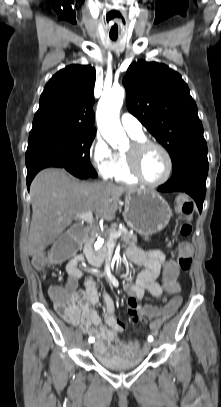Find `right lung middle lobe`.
Masks as SVG:
<instances>
[{
  "label": "right lung middle lobe",
  "mask_w": 221,
  "mask_h": 407,
  "mask_svg": "<svg viewBox=\"0 0 221 407\" xmlns=\"http://www.w3.org/2000/svg\"><path fill=\"white\" fill-rule=\"evenodd\" d=\"M96 132L49 127L31 130L26 151L27 169L44 160H55L66 167L96 177L89 151Z\"/></svg>",
  "instance_id": "dd1d6c3e"
}]
</instances>
